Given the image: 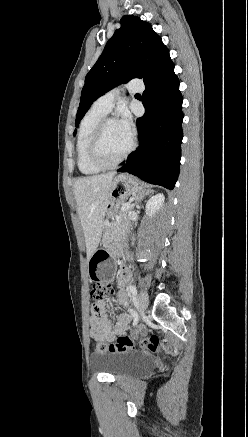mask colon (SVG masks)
<instances>
[{
    "instance_id": "5ec220e1",
    "label": "colon",
    "mask_w": 248,
    "mask_h": 437,
    "mask_svg": "<svg viewBox=\"0 0 248 437\" xmlns=\"http://www.w3.org/2000/svg\"><path fill=\"white\" fill-rule=\"evenodd\" d=\"M112 288L110 286H95L93 284L91 290V298L95 302L102 301L107 298L111 294ZM140 346L144 350H147L152 353H157L160 351V341L157 336H150L147 338H143L139 340L137 343L130 338L129 336L122 335L120 336L116 342L107 343V342H98L95 346V349L99 353H122L131 351L136 348V346Z\"/></svg>"
}]
</instances>
